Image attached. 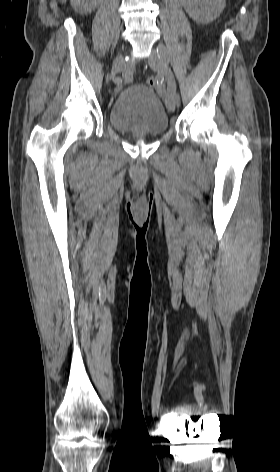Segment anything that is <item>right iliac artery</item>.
Instances as JSON below:
<instances>
[{"label":"right iliac artery","instance_id":"obj_1","mask_svg":"<svg viewBox=\"0 0 280 472\" xmlns=\"http://www.w3.org/2000/svg\"><path fill=\"white\" fill-rule=\"evenodd\" d=\"M134 69H135L134 59L127 58L126 63H125L124 73H123V77H124L126 82L132 80Z\"/></svg>","mask_w":280,"mask_h":472}]
</instances>
